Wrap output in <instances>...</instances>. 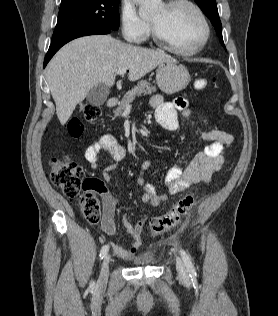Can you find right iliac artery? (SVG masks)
<instances>
[{
  "label": "right iliac artery",
  "instance_id": "obj_1",
  "mask_svg": "<svg viewBox=\"0 0 278 316\" xmlns=\"http://www.w3.org/2000/svg\"><path fill=\"white\" fill-rule=\"evenodd\" d=\"M108 250H109V246H108V245H104V246L101 248V251H100V257H101V259H102L103 257H105V255L107 254Z\"/></svg>",
  "mask_w": 278,
  "mask_h": 316
}]
</instances>
